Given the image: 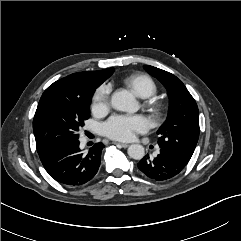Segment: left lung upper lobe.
<instances>
[{"mask_svg":"<svg viewBox=\"0 0 241 241\" xmlns=\"http://www.w3.org/2000/svg\"><path fill=\"white\" fill-rule=\"evenodd\" d=\"M145 69L165 86L170 98L169 116L157 131L158 145L186 165L199 138L197 104L176 76L149 65H145Z\"/></svg>","mask_w":241,"mask_h":241,"instance_id":"1","label":"left lung upper lobe"}]
</instances>
